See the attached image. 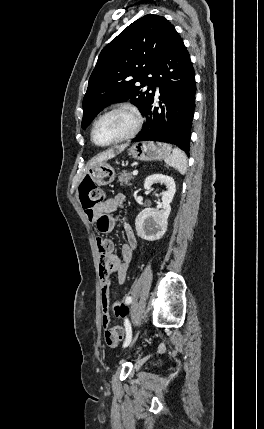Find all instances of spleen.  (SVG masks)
<instances>
[{"label": "spleen", "instance_id": "spleen-1", "mask_svg": "<svg viewBox=\"0 0 264 429\" xmlns=\"http://www.w3.org/2000/svg\"><path fill=\"white\" fill-rule=\"evenodd\" d=\"M167 166L173 167L181 174H185L187 170V158L184 152L178 148H174L172 154L165 158Z\"/></svg>", "mask_w": 264, "mask_h": 429}]
</instances>
